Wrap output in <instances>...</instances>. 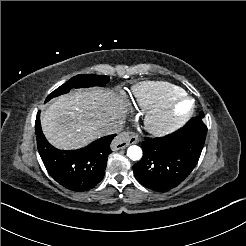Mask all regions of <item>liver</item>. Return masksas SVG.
<instances>
[{
  "mask_svg": "<svg viewBox=\"0 0 246 246\" xmlns=\"http://www.w3.org/2000/svg\"><path fill=\"white\" fill-rule=\"evenodd\" d=\"M127 107V101L110 90L79 89L55 99L41 114V126L56 148L77 149L123 124Z\"/></svg>",
  "mask_w": 246,
  "mask_h": 246,
  "instance_id": "1",
  "label": "liver"
}]
</instances>
